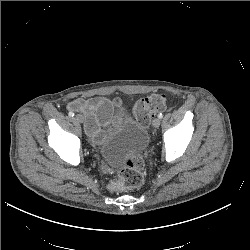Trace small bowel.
<instances>
[{"label": "small bowel", "instance_id": "obj_1", "mask_svg": "<svg viewBox=\"0 0 250 250\" xmlns=\"http://www.w3.org/2000/svg\"><path fill=\"white\" fill-rule=\"evenodd\" d=\"M120 101H111L105 97L78 98L68 104V109L81 113L84 117V128L89 136L99 139L100 127L104 125L114 106Z\"/></svg>", "mask_w": 250, "mask_h": 250}]
</instances>
